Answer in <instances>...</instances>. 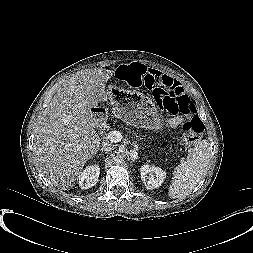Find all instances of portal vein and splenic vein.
Returning <instances> with one entry per match:
<instances>
[{
	"mask_svg": "<svg viewBox=\"0 0 253 253\" xmlns=\"http://www.w3.org/2000/svg\"><path fill=\"white\" fill-rule=\"evenodd\" d=\"M107 138L112 142H119L122 139V135L119 131H110Z\"/></svg>",
	"mask_w": 253,
	"mask_h": 253,
	"instance_id": "1",
	"label": "portal vein and splenic vein"
}]
</instances>
